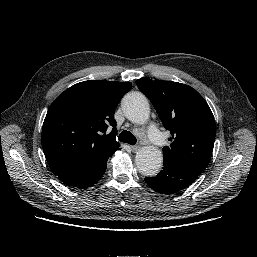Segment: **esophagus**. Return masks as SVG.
<instances>
[{
	"mask_svg": "<svg viewBox=\"0 0 257 257\" xmlns=\"http://www.w3.org/2000/svg\"><path fill=\"white\" fill-rule=\"evenodd\" d=\"M140 149V146L139 145H134V146H131V150L132 152H137L138 150Z\"/></svg>",
	"mask_w": 257,
	"mask_h": 257,
	"instance_id": "obj_1",
	"label": "esophagus"
}]
</instances>
